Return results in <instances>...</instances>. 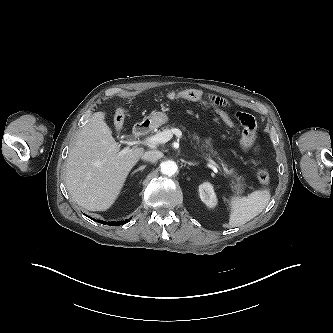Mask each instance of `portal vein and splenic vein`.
<instances>
[{"instance_id": "1", "label": "portal vein and splenic vein", "mask_w": 333, "mask_h": 333, "mask_svg": "<svg viewBox=\"0 0 333 333\" xmlns=\"http://www.w3.org/2000/svg\"><path fill=\"white\" fill-rule=\"evenodd\" d=\"M173 134H175L177 137L181 138L182 137V132L179 129H171V130H166L163 132H159L151 137H148L144 142L147 144H162V143H166L168 142ZM196 155L202 157L203 159H205L208 162V166L209 168L212 169H217L219 168V165L211 158L204 156V155H200L198 153H195Z\"/></svg>"}]
</instances>
